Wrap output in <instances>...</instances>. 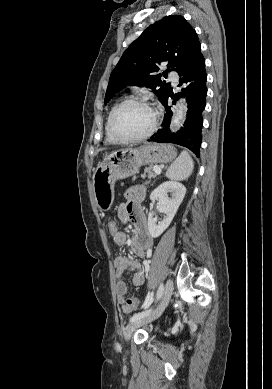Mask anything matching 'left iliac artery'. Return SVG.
Segmentation results:
<instances>
[{
    "mask_svg": "<svg viewBox=\"0 0 272 389\" xmlns=\"http://www.w3.org/2000/svg\"><path fill=\"white\" fill-rule=\"evenodd\" d=\"M163 290H164V286H163V284H160V286H159V288H158V290H157V294H156V301H158V300L161 298L162 293H163ZM148 300H149V301H152V300H153V293H152V292L149 293ZM146 308H147V306H146ZM151 310H152V309H148V310H145V311H142V312H139V313L134 314V315L130 318V322H133V321H135V320H137V319H140L141 317H143V316L147 315L148 313H150Z\"/></svg>",
    "mask_w": 272,
    "mask_h": 389,
    "instance_id": "1",
    "label": "left iliac artery"
}]
</instances>
